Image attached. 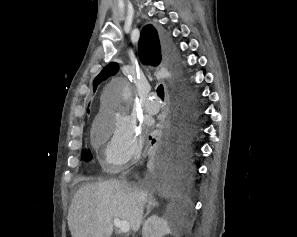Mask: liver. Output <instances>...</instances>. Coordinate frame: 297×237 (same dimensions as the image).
Listing matches in <instances>:
<instances>
[{"instance_id": "obj_1", "label": "liver", "mask_w": 297, "mask_h": 237, "mask_svg": "<svg viewBox=\"0 0 297 237\" xmlns=\"http://www.w3.org/2000/svg\"><path fill=\"white\" fill-rule=\"evenodd\" d=\"M147 199V191L119 180L85 184L74 195L68 211L71 236L110 237L114 218L128 221L137 232Z\"/></svg>"}]
</instances>
